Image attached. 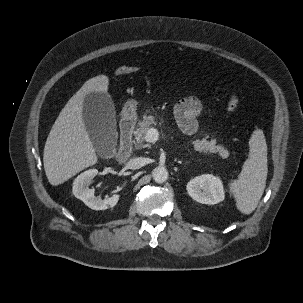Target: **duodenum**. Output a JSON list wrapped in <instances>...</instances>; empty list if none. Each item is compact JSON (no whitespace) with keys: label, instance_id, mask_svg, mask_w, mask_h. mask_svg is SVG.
I'll list each match as a JSON object with an SVG mask.
<instances>
[{"label":"duodenum","instance_id":"1","mask_svg":"<svg viewBox=\"0 0 303 303\" xmlns=\"http://www.w3.org/2000/svg\"><path fill=\"white\" fill-rule=\"evenodd\" d=\"M135 128V119L127 116L120 123V145L116 154L119 162H125L132 154L133 130Z\"/></svg>","mask_w":303,"mask_h":303}]
</instances>
